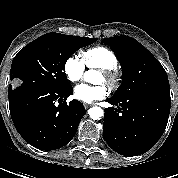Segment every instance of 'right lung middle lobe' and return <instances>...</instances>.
Returning a JSON list of instances; mask_svg holds the SVG:
<instances>
[{
  "label": "right lung middle lobe",
  "instance_id": "dd1d6c3e",
  "mask_svg": "<svg viewBox=\"0 0 178 178\" xmlns=\"http://www.w3.org/2000/svg\"><path fill=\"white\" fill-rule=\"evenodd\" d=\"M97 38L47 33L26 45L14 57L10 79L17 86L63 88L69 86L65 63L78 49ZM9 88H12L10 85Z\"/></svg>",
  "mask_w": 178,
  "mask_h": 178
}]
</instances>
